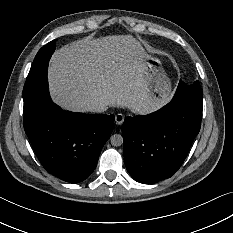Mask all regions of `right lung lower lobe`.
I'll use <instances>...</instances> for the list:
<instances>
[{
    "label": "right lung lower lobe",
    "mask_w": 233,
    "mask_h": 233,
    "mask_svg": "<svg viewBox=\"0 0 233 233\" xmlns=\"http://www.w3.org/2000/svg\"><path fill=\"white\" fill-rule=\"evenodd\" d=\"M24 129L43 167L69 183L93 172L114 115L64 111L50 98L48 81L24 96Z\"/></svg>",
    "instance_id": "1"
}]
</instances>
